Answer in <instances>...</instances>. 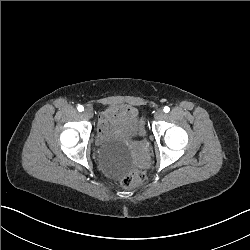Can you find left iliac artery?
Returning a JSON list of instances; mask_svg holds the SVG:
<instances>
[{"label": "left iliac artery", "instance_id": "44dca946", "mask_svg": "<svg viewBox=\"0 0 250 250\" xmlns=\"http://www.w3.org/2000/svg\"><path fill=\"white\" fill-rule=\"evenodd\" d=\"M163 110L165 113H168L170 111V108L168 106H165Z\"/></svg>", "mask_w": 250, "mask_h": 250}]
</instances>
